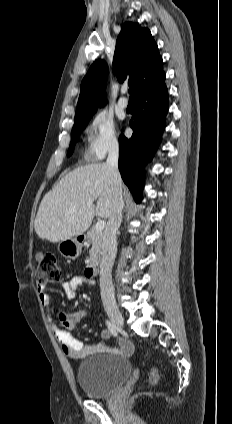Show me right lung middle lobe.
Segmentation results:
<instances>
[{
	"instance_id": "right-lung-middle-lobe-1",
	"label": "right lung middle lobe",
	"mask_w": 232,
	"mask_h": 424,
	"mask_svg": "<svg viewBox=\"0 0 232 424\" xmlns=\"http://www.w3.org/2000/svg\"><path fill=\"white\" fill-rule=\"evenodd\" d=\"M91 117L92 115L75 120L73 129H72V139H71V143L67 152V156H71V154L73 153L74 146L76 141L78 140L79 134L82 131V129L86 127Z\"/></svg>"
}]
</instances>
